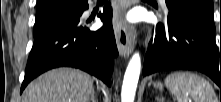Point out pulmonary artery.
Listing matches in <instances>:
<instances>
[{
    "label": "pulmonary artery",
    "mask_w": 221,
    "mask_h": 102,
    "mask_svg": "<svg viewBox=\"0 0 221 102\" xmlns=\"http://www.w3.org/2000/svg\"><path fill=\"white\" fill-rule=\"evenodd\" d=\"M159 2L161 3L162 6H166L165 0H159Z\"/></svg>",
    "instance_id": "1"
}]
</instances>
